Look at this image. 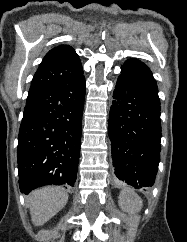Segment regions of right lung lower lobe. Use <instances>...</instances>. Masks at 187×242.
Segmentation results:
<instances>
[{"mask_svg": "<svg viewBox=\"0 0 187 242\" xmlns=\"http://www.w3.org/2000/svg\"><path fill=\"white\" fill-rule=\"evenodd\" d=\"M84 99L83 74L70 83L28 94L17 149L22 193L48 184L74 185Z\"/></svg>", "mask_w": 187, "mask_h": 242, "instance_id": "98d812e1", "label": "right lung lower lobe"}]
</instances>
